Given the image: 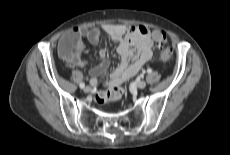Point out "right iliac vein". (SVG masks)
Returning <instances> with one entry per match:
<instances>
[{
  "instance_id": "obj_1",
  "label": "right iliac vein",
  "mask_w": 230,
  "mask_h": 155,
  "mask_svg": "<svg viewBox=\"0 0 230 155\" xmlns=\"http://www.w3.org/2000/svg\"><path fill=\"white\" fill-rule=\"evenodd\" d=\"M91 91V88L89 87V86H86L85 88H84V92L85 93H89Z\"/></svg>"
}]
</instances>
